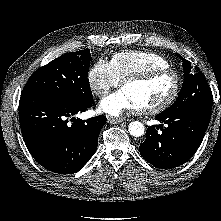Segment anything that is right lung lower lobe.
Listing matches in <instances>:
<instances>
[{"mask_svg":"<svg viewBox=\"0 0 221 221\" xmlns=\"http://www.w3.org/2000/svg\"><path fill=\"white\" fill-rule=\"evenodd\" d=\"M87 103L48 94L20 97L19 121L24 142L45 169L61 174L79 171L93 156L105 116L88 120L74 115L90 108Z\"/></svg>","mask_w":221,"mask_h":221,"instance_id":"right-lung-lower-lobe-1","label":"right lung lower lobe"}]
</instances>
